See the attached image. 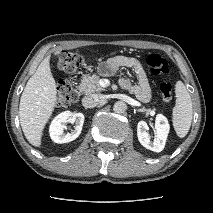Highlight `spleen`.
I'll return each mask as SVG.
<instances>
[{
	"mask_svg": "<svg viewBox=\"0 0 213 213\" xmlns=\"http://www.w3.org/2000/svg\"><path fill=\"white\" fill-rule=\"evenodd\" d=\"M176 104L173 108V127L179 138H184L189 132L192 122V101L189 92L182 81L175 85Z\"/></svg>",
	"mask_w": 213,
	"mask_h": 213,
	"instance_id": "3e777b00",
	"label": "spleen"
}]
</instances>
